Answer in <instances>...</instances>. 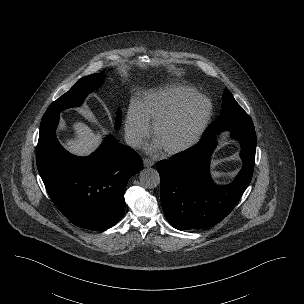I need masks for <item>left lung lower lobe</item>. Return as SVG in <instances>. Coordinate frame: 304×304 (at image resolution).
<instances>
[{
    "label": "left lung lower lobe",
    "mask_w": 304,
    "mask_h": 304,
    "mask_svg": "<svg viewBox=\"0 0 304 304\" xmlns=\"http://www.w3.org/2000/svg\"><path fill=\"white\" fill-rule=\"evenodd\" d=\"M232 137L241 144L243 168L229 185L211 180L209 163L219 132L204 134L192 149L156 165L161 181V204L168 222L178 230L216 225L235 207L251 182L255 164L254 129L233 128Z\"/></svg>",
    "instance_id": "0a47b994"
}]
</instances>
